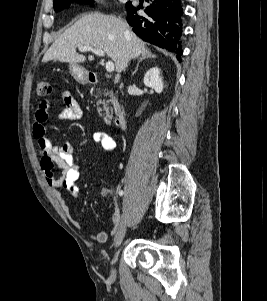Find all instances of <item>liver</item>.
I'll return each mask as SVG.
<instances>
[{"mask_svg":"<svg viewBox=\"0 0 267 301\" xmlns=\"http://www.w3.org/2000/svg\"><path fill=\"white\" fill-rule=\"evenodd\" d=\"M81 46L103 50L114 61L117 73L127 67L129 59L150 52L126 22L113 15L93 12L83 15L60 35L47 50L42 62L83 63L86 57L76 52V48ZM88 60L93 61L94 57L89 56Z\"/></svg>","mask_w":267,"mask_h":301,"instance_id":"obj_1","label":"liver"}]
</instances>
